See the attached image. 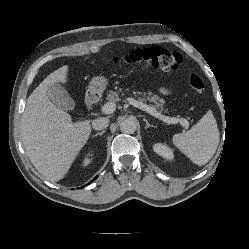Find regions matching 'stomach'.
<instances>
[{
	"label": "stomach",
	"instance_id": "0dacf381",
	"mask_svg": "<svg viewBox=\"0 0 249 249\" xmlns=\"http://www.w3.org/2000/svg\"><path fill=\"white\" fill-rule=\"evenodd\" d=\"M106 86V78L102 76L94 77L89 84V91L92 93H101L105 90Z\"/></svg>",
	"mask_w": 249,
	"mask_h": 249
}]
</instances>
